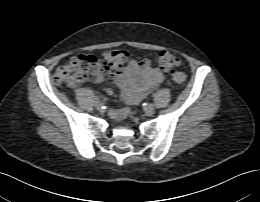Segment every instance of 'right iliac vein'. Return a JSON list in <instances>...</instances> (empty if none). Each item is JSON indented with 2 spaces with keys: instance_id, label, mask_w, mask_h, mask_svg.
Instances as JSON below:
<instances>
[{
  "instance_id": "1",
  "label": "right iliac vein",
  "mask_w": 260,
  "mask_h": 202,
  "mask_svg": "<svg viewBox=\"0 0 260 202\" xmlns=\"http://www.w3.org/2000/svg\"><path fill=\"white\" fill-rule=\"evenodd\" d=\"M102 106H103V103L100 102V101H97L96 104H95V107H96V109H98V110H100V109L102 108Z\"/></svg>"
}]
</instances>
